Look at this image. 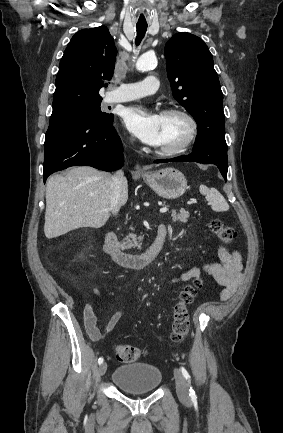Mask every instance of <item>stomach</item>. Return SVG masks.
<instances>
[{
	"label": "stomach",
	"mask_w": 283,
	"mask_h": 433,
	"mask_svg": "<svg viewBox=\"0 0 283 433\" xmlns=\"http://www.w3.org/2000/svg\"><path fill=\"white\" fill-rule=\"evenodd\" d=\"M143 180L163 198H179L187 188V180L177 168H161L154 172H143Z\"/></svg>",
	"instance_id": "0dacf381"
}]
</instances>
